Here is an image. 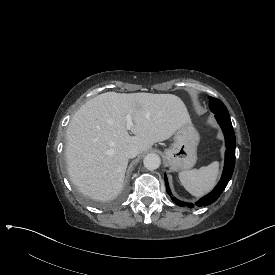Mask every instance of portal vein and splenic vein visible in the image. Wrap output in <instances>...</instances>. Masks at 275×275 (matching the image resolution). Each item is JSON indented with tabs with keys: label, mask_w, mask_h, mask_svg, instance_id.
I'll return each instance as SVG.
<instances>
[{
	"label": "portal vein and splenic vein",
	"mask_w": 275,
	"mask_h": 275,
	"mask_svg": "<svg viewBox=\"0 0 275 275\" xmlns=\"http://www.w3.org/2000/svg\"><path fill=\"white\" fill-rule=\"evenodd\" d=\"M124 118L127 121L125 131H129L133 125V121H132L133 115L131 113H126L124 114Z\"/></svg>",
	"instance_id": "18ae733b"
}]
</instances>
